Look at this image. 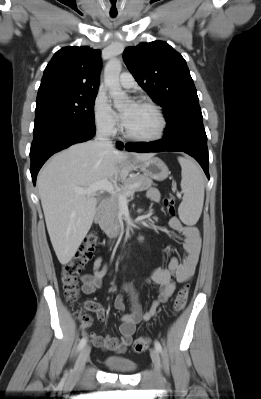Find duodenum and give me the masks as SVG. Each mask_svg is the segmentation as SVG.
<instances>
[{
  "label": "duodenum",
  "instance_id": "410a0bca",
  "mask_svg": "<svg viewBox=\"0 0 261 399\" xmlns=\"http://www.w3.org/2000/svg\"><path fill=\"white\" fill-rule=\"evenodd\" d=\"M107 203L106 200H103L101 202V205L97 208L96 213H95V217L97 221H101L102 217H103V211H104V205Z\"/></svg>",
  "mask_w": 261,
  "mask_h": 399
}]
</instances>
